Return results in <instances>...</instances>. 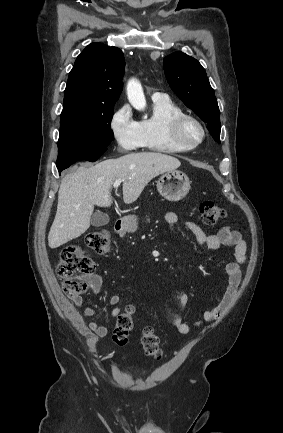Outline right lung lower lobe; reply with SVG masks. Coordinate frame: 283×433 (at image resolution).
I'll return each instance as SVG.
<instances>
[{
    "label": "right lung lower lobe",
    "instance_id": "obj_1",
    "mask_svg": "<svg viewBox=\"0 0 283 433\" xmlns=\"http://www.w3.org/2000/svg\"><path fill=\"white\" fill-rule=\"evenodd\" d=\"M106 150L92 151L78 148H64L58 150V159L56 162L58 171L68 168L78 160L96 161Z\"/></svg>",
    "mask_w": 283,
    "mask_h": 433
}]
</instances>
